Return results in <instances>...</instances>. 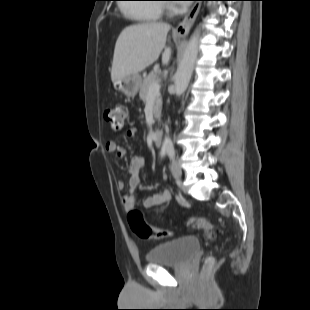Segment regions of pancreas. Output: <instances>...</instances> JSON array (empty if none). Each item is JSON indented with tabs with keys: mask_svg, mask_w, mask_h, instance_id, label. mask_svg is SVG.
<instances>
[{
	"mask_svg": "<svg viewBox=\"0 0 310 310\" xmlns=\"http://www.w3.org/2000/svg\"><path fill=\"white\" fill-rule=\"evenodd\" d=\"M156 81H157V76L154 73H151L147 77L144 78L143 83L140 86V92H139L140 99L143 102L147 101L149 88ZM161 106H162V100H161V96L159 93L158 95H156L155 104H154V115L156 118L160 117Z\"/></svg>",
	"mask_w": 310,
	"mask_h": 310,
	"instance_id": "cf45deb5",
	"label": "pancreas"
}]
</instances>
